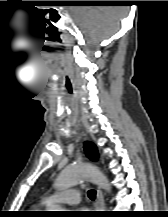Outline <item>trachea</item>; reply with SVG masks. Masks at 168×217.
I'll return each instance as SVG.
<instances>
[{"mask_svg":"<svg viewBox=\"0 0 168 217\" xmlns=\"http://www.w3.org/2000/svg\"><path fill=\"white\" fill-rule=\"evenodd\" d=\"M88 197H89L91 200H95L96 191H95V190H89V191H88Z\"/></svg>","mask_w":168,"mask_h":217,"instance_id":"3493384b","label":"trachea"}]
</instances>
